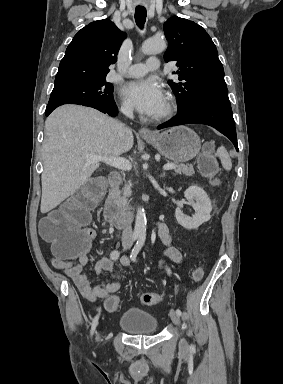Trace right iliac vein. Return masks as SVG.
Here are the masks:
<instances>
[{"instance_id":"63e3f726","label":"right iliac vein","mask_w":283,"mask_h":384,"mask_svg":"<svg viewBox=\"0 0 283 384\" xmlns=\"http://www.w3.org/2000/svg\"><path fill=\"white\" fill-rule=\"evenodd\" d=\"M100 339H101V337H100V334H97V336H96V341H100Z\"/></svg>"}]
</instances>
